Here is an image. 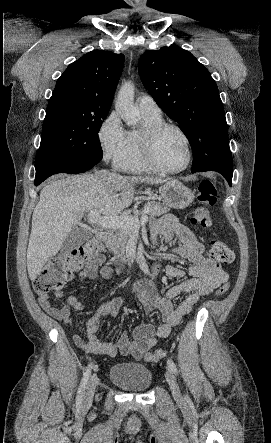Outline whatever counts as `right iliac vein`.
Returning a JSON list of instances; mask_svg holds the SVG:
<instances>
[{"instance_id": "1", "label": "right iliac vein", "mask_w": 271, "mask_h": 443, "mask_svg": "<svg viewBox=\"0 0 271 443\" xmlns=\"http://www.w3.org/2000/svg\"><path fill=\"white\" fill-rule=\"evenodd\" d=\"M96 386H97V379L95 376H93L88 382L87 389L84 395V400H83L84 409H87L91 406Z\"/></svg>"}]
</instances>
